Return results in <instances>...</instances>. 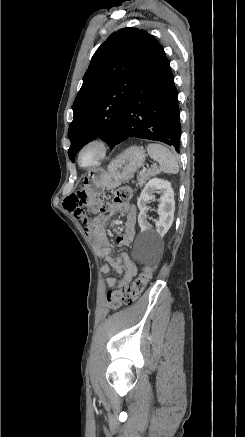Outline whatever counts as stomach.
<instances>
[{
  "instance_id": "stomach-1",
  "label": "stomach",
  "mask_w": 245,
  "mask_h": 437,
  "mask_svg": "<svg viewBox=\"0 0 245 437\" xmlns=\"http://www.w3.org/2000/svg\"><path fill=\"white\" fill-rule=\"evenodd\" d=\"M145 156L142 147L131 146L110 163L107 172L93 170L87 173L84 185L96 191L115 189L133 177L144 164Z\"/></svg>"
}]
</instances>
